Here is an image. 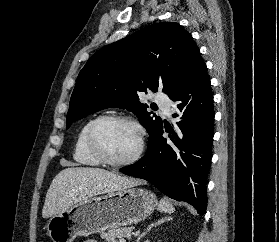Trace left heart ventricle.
Returning <instances> with one entry per match:
<instances>
[{"label": "left heart ventricle", "instance_id": "b2bd125f", "mask_svg": "<svg viewBox=\"0 0 279 242\" xmlns=\"http://www.w3.org/2000/svg\"><path fill=\"white\" fill-rule=\"evenodd\" d=\"M99 142L105 153L114 160L129 158L137 149L138 133L127 123L108 122L98 131Z\"/></svg>", "mask_w": 279, "mask_h": 242}]
</instances>
